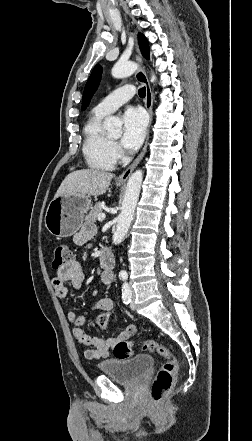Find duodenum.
<instances>
[{
    "mask_svg": "<svg viewBox=\"0 0 252 441\" xmlns=\"http://www.w3.org/2000/svg\"><path fill=\"white\" fill-rule=\"evenodd\" d=\"M99 263L106 272H110L113 269L115 259L113 254L107 248H102L100 250Z\"/></svg>",
    "mask_w": 252,
    "mask_h": 441,
    "instance_id": "1",
    "label": "duodenum"
}]
</instances>
